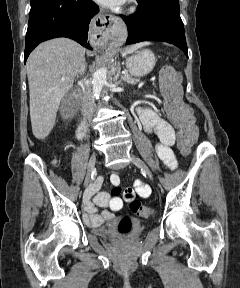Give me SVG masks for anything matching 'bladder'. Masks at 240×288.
I'll return each mask as SVG.
<instances>
[{
	"mask_svg": "<svg viewBox=\"0 0 240 288\" xmlns=\"http://www.w3.org/2000/svg\"><path fill=\"white\" fill-rule=\"evenodd\" d=\"M142 231H143V228H140V229H139V232H142ZM97 233H98L99 235L105 236V237L110 236V232H109V230L106 229V228L98 229V230H97Z\"/></svg>",
	"mask_w": 240,
	"mask_h": 288,
	"instance_id": "31cf9c89",
	"label": "bladder"
}]
</instances>
